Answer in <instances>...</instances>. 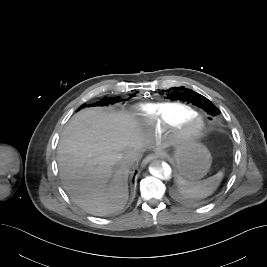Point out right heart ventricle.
Here are the masks:
<instances>
[{"label": "right heart ventricle", "instance_id": "1", "mask_svg": "<svg viewBox=\"0 0 267 267\" xmlns=\"http://www.w3.org/2000/svg\"><path fill=\"white\" fill-rule=\"evenodd\" d=\"M193 114H196V111L191 106L180 102L147 103L138 106L133 113L138 120L147 123L156 131Z\"/></svg>", "mask_w": 267, "mask_h": 267}]
</instances>
